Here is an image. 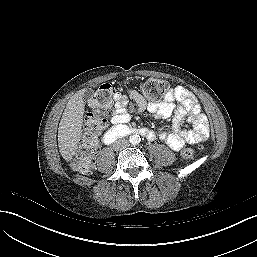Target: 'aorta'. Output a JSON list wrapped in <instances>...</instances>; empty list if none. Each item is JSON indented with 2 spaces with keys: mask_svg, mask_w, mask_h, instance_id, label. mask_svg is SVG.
<instances>
[{
  "mask_svg": "<svg viewBox=\"0 0 257 257\" xmlns=\"http://www.w3.org/2000/svg\"><path fill=\"white\" fill-rule=\"evenodd\" d=\"M129 141L132 145H138L141 141V138L139 135L134 134L129 137Z\"/></svg>",
  "mask_w": 257,
  "mask_h": 257,
  "instance_id": "762f6f07",
  "label": "aorta"
}]
</instances>
